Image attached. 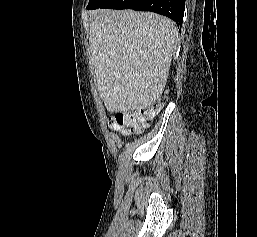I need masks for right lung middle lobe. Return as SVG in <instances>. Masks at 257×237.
<instances>
[{
  "label": "right lung middle lobe",
  "instance_id": "1",
  "mask_svg": "<svg viewBox=\"0 0 257 237\" xmlns=\"http://www.w3.org/2000/svg\"><path fill=\"white\" fill-rule=\"evenodd\" d=\"M108 0H89L87 7L99 8L104 5Z\"/></svg>",
  "mask_w": 257,
  "mask_h": 237
}]
</instances>
